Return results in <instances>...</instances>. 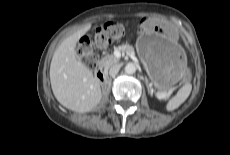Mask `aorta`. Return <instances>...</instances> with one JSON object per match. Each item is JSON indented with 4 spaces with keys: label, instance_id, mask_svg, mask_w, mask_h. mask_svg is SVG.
<instances>
[{
    "label": "aorta",
    "instance_id": "1",
    "mask_svg": "<svg viewBox=\"0 0 230 155\" xmlns=\"http://www.w3.org/2000/svg\"><path fill=\"white\" fill-rule=\"evenodd\" d=\"M136 72V66L134 63H128L125 66V73L127 74H134Z\"/></svg>",
    "mask_w": 230,
    "mask_h": 155
}]
</instances>
